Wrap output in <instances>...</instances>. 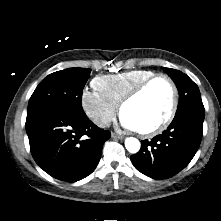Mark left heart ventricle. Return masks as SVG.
I'll list each match as a JSON object with an SVG mask.
<instances>
[{"mask_svg":"<svg viewBox=\"0 0 221 221\" xmlns=\"http://www.w3.org/2000/svg\"><path fill=\"white\" fill-rule=\"evenodd\" d=\"M172 99L171 89L164 80L153 82L139 97L128 103L122 112L136 130L159 124L167 115Z\"/></svg>","mask_w":221,"mask_h":221,"instance_id":"left-heart-ventricle-1","label":"left heart ventricle"}]
</instances>
